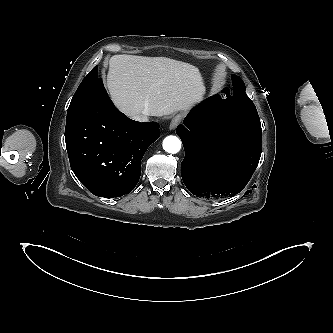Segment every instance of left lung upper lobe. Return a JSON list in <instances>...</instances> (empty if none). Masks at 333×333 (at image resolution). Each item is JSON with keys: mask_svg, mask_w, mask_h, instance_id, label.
<instances>
[{"mask_svg": "<svg viewBox=\"0 0 333 333\" xmlns=\"http://www.w3.org/2000/svg\"><path fill=\"white\" fill-rule=\"evenodd\" d=\"M232 81H233V92H234L232 99L236 100L239 103H244L246 105L255 107L251 99L245 93V85L241 80V78H239L236 75H232Z\"/></svg>", "mask_w": 333, "mask_h": 333, "instance_id": "obj_1", "label": "left lung upper lobe"}]
</instances>
